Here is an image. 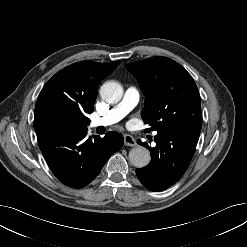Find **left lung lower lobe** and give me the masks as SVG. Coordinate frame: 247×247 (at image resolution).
Returning a JSON list of instances; mask_svg holds the SVG:
<instances>
[{
	"instance_id": "obj_1",
	"label": "left lung lower lobe",
	"mask_w": 247,
	"mask_h": 247,
	"mask_svg": "<svg viewBox=\"0 0 247 247\" xmlns=\"http://www.w3.org/2000/svg\"><path fill=\"white\" fill-rule=\"evenodd\" d=\"M200 132L188 130L182 125H172L154 137L156 146L151 148L138 140V144L148 148L150 163L136 169L140 182L149 190L162 191L177 182L187 170L198 143Z\"/></svg>"
}]
</instances>
